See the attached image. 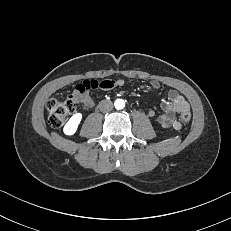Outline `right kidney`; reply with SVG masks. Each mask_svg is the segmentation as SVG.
<instances>
[{"mask_svg": "<svg viewBox=\"0 0 231 231\" xmlns=\"http://www.w3.org/2000/svg\"><path fill=\"white\" fill-rule=\"evenodd\" d=\"M81 119H82L81 113L74 114L64 126L63 129L64 133L66 135H73L76 132Z\"/></svg>", "mask_w": 231, "mask_h": 231, "instance_id": "ca27d5eb", "label": "right kidney"}]
</instances>
